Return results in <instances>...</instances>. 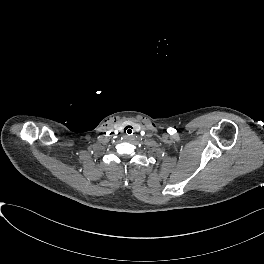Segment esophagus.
Returning <instances> with one entry per match:
<instances>
[{
  "instance_id": "obj_1",
  "label": "esophagus",
  "mask_w": 264,
  "mask_h": 264,
  "mask_svg": "<svg viewBox=\"0 0 264 264\" xmlns=\"http://www.w3.org/2000/svg\"><path fill=\"white\" fill-rule=\"evenodd\" d=\"M125 139H129V136H125Z\"/></svg>"
}]
</instances>
